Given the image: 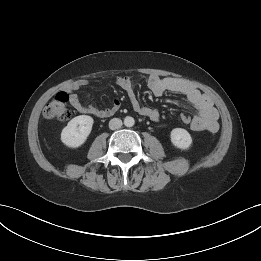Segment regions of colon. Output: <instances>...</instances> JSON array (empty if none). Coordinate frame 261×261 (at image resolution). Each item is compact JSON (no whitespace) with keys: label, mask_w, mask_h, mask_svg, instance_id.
<instances>
[{"label":"colon","mask_w":261,"mask_h":261,"mask_svg":"<svg viewBox=\"0 0 261 261\" xmlns=\"http://www.w3.org/2000/svg\"><path fill=\"white\" fill-rule=\"evenodd\" d=\"M68 94L65 92L58 93L55 98L46 105L43 115L46 119H53L59 121L68 120L71 117V109L68 105ZM181 120L185 124H191V117L189 115H181Z\"/></svg>","instance_id":"5ec220e1"}]
</instances>
